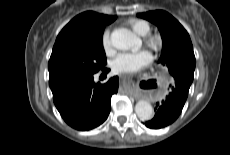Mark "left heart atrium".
Wrapping results in <instances>:
<instances>
[{
  "mask_svg": "<svg viewBox=\"0 0 230 155\" xmlns=\"http://www.w3.org/2000/svg\"><path fill=\"white\" fill-rule=\"evenodd\" d=\"M152 59L148 50L125 51L112 60L111 67L116 73H134L147 66Z\"/></svg>",
  "mask_w": 230,
  "mask_h": 155,
  "instance_id": "obj_1",
  "label": "left heart atrium"
}]
</instances>
